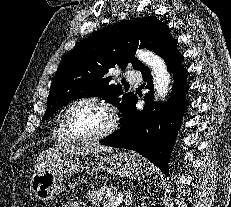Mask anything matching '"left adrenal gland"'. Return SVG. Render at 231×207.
<instances>
[{
	"label": "left adrenal gland",
	"instance_id": "obj_1",
	"mask_svg": "<svg viewBox=\"0 0 231 207\" xmlns=\"http://www.w3.org/2000/svg\"><path fill=\"white\" fill-rule=\"evenodd\" d=\"M132 203H133L132 194L130 191H126L124 204L126 205V207H128Z\"/></svg>",
	"mask_w": 231,
	"mask_h": 207
}]
</instances>
